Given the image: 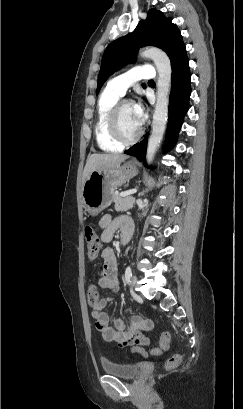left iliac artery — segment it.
I'll return each mask as SVG.
<instances>
[{"label":"left iliac artery","instance_id":"44dca946","mask_svg":"<svg viewBox=\"0 0 243 409\" xmlns=\"http://www.w3.org/2000/svg\"><path fill=\"white\" fill-rule=\"evenodd\" d=\"M131 277H132V271H131L130 266H128V267L126 268V271H125V279H126V282H127V283H130V282H131Z\"/></svg>","mask_w":243,"mask_h":409}]
</instances>
